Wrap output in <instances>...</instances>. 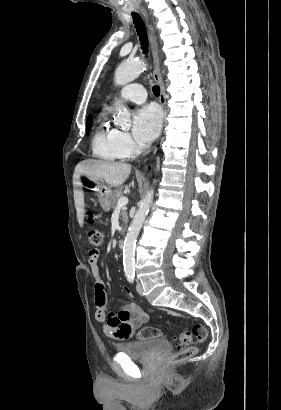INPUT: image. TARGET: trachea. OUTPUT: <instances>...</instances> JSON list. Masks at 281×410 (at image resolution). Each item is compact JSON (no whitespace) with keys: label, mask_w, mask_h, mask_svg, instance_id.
Returning <instances> with one entry per match:
<instances>
[{"label":"trachea","mask_w":281,"mask_h":410,"mask_svg":"<svg viewBox=\"0 0 281 410\" xmlns=\"http://www.w3.org/2000/svg\"><path fill=\"white\" fill-rule=\"evenodd\" d=\"M132 17H133V22L135 24V28L136 31L138 33L140 42H141V48L143 50L144 54H147L148 52V38H147V33H146V29H145V25L143 23L142 18L140 17L139 14L137 13H132ZM153 94L155 96H159L160 95V87L155 85L152 88Z\"/></svg>","instance_id":"obj_1"}]
</instances>
